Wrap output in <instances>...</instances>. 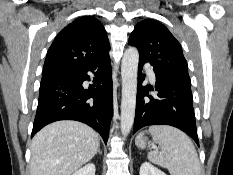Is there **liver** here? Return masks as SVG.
Here are the masks:
<instances>
[{"mask_svg":"<svg viewBox=\"0 0 233 175\" xmlns=\"http://www.w3.org/2000/svg\"><path fill=\"white\" fill-rule=\"evenodd\" d=\"M99 145L98 134L86 124L53 122L32 140L31 175H71L94 157Z\"/></svg>","mask_w":233,"mask_h":175,"instance_id":"1","label":"liver"}]
</instances>
